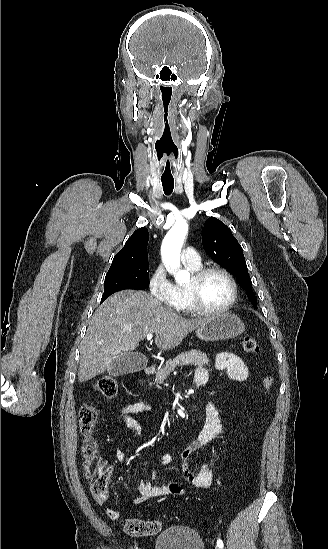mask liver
<instances>
[{
    "label": "liver",
    "instance_id": "1",
    "mask_svg": "<svg viewBox=\"0 0 328 549\" xmlns=\"http://www.w3.org/2000/svg\"><path fill=\"white\" fill-rule=\"evenodd\" d=\"M205 319H184L145 291H119L96 309L81 343L78 381L105 373L112 359L137 349L149 333L162 351L175 349Z\"/></svg>",
    "mask_w": 328,
    "mask_h": 549
}]
</instances>
